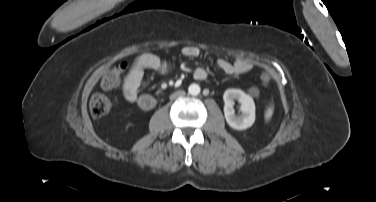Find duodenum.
I'll use <instances>...</instances> for the list:
<instances>
[{
    "instance_id": "1",
    "label": "duodenum",
    "mask_w": 376,
    "mask_h": 202,
    "mask_svg": "<svg viewBox=\"0 0 376 202\" xmlns=\"http://www.w3.org/2000/svg\"><path fill=\"white\" fill-rule=\"evenodd\" d=\"M138 104L143 110H150L154 107L155 102L150 96H142L138 100Z\"/></svg>"
}]
</instances>
